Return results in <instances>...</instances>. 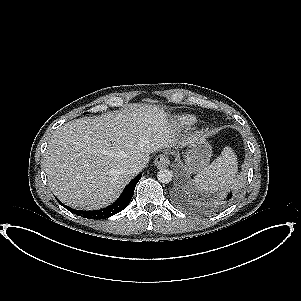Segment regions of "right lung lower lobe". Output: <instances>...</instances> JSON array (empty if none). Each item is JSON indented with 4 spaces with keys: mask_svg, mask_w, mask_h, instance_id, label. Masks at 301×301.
<instances>
[{
    "mask_svg": "<svg viewBox=\"0 0 301 301\" xmlns=\"http://www.w3.org/2000/svg\"><path fill=\"white\" fill-rule=\"evenodd\" d=\"M142 175H137L123 190L120 197L114 202L112 205L103 208L101 210H94V211H83V210H75L72 208H68L67 206L63 205L66 209L70 210L71 212L85 218L90 219H103L113 216L123 209H125L128 204L130 203L132 196L134 194L135 186L138 181L141 179Z\"/></svg>",
    "mask_w": 301,
    "mask_h": 301,
    "instance_id": "98d812e1",
    "label": "right lung lower lobe"
}]
</instances>
